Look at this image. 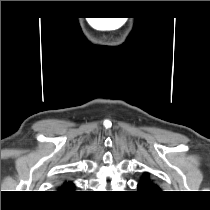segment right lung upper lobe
<instances>
[{
  "mask_svg": "<svg viewBox=\"0 0 210 210\" xmlns=\"http://www.w3.org/2000/svg\"><path fill=\"white\" fill-rule=\"evenodd\" d=\"M74 188V184L72 182H64L61 186L60 189L63 190V192H68V191H72V189Z\"/></svg>",
  "mask_w": 210,
  "mask_h": 210,
  "instance_id": "right-lung-upper-lobe-1",
  "label": "right lung upper lobe"
}]
</instances>
